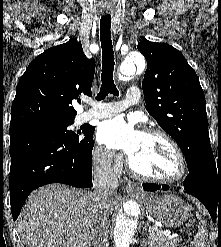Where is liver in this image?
<instances>
[{
	"label": "liver",
	"mask_w": 221,
	"mask_h": 247,
	"mask_svg": "<svg viewBox=\"0 0 221 247\" xmlns=\"http://www.w3.org/2000/svg\"><path fill=\"white\" fill-rule=\"evenodd\" d=\"M91 192L50 184L32 192L18 217L26 247H91L98 215ZM118 201L110 198L107 213ZM108 233V221L106 224Z\"/></svg>",
	"instance_id": "obj_1"
}]
</instances>
